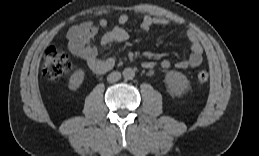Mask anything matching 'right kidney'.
<instances>
[{"label":"right kidney","instance_id":"ca27d5eb","mask_svg":"<svg viewBox=\"0 0 259 156\" xmlns=\"http://www.w3.org/2000/svg\"><path fill=\"white\" fill-rule=\"evenodd\" d=\"M85 72L82 69L76 70L70 77L68 87L70 90H77L83 83Z\"/></svg>","mask_w":259,"mask_h":156}]
</instances>
